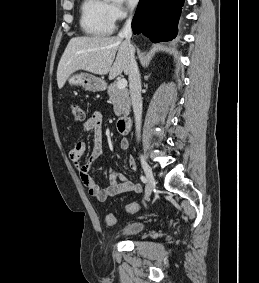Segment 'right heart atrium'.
<instances>
[{"mask_svg":"<svg viewBox=\"0 0 259 283\" xmlns=\"http://www.w3.org/2000/svg\"><path fill=\"white\" fill-rule=\"evenodd\" d=\"M110 11L114 20L124 19L129 12L128 8L119 3L110 4Z\"/></svg>","mask_w":259,"mask_h":283,"instance_id":"d8ad5b80","label":"right heart atrium"}]
</instances>
